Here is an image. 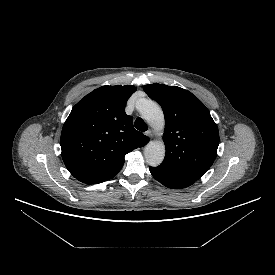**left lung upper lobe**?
<instances>
[{
  "label": "left lung upper lobe",
  "mask_w": 275,
  "mask_h": 275,
  "mask_svg": "<svg viewBox=\"0 0 275 275\" xmlns=\"http://www.w3.org/2000/svg\"><path fill=\"white\" fill-rule=\"evenodd\" d=\"M147 95L165 116L166 154L160 166L198 180L211 167L219 145V131L206 106L177 86L149 84Z\"/></svg>",
  "instance_id": "left-lung-upper-lobe-1"
}]
</instances>
